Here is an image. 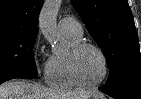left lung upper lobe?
<instances>
[{
    "instance_id": "obj_1",
    "label": "left lung upper lobe",
    "mask_w": 141,
    "mask_h": 99,
    "mask_svg": "<svg viewBox=\"0 0 141 99\" xmlns=\"http://www.w3.org/2000/svg\"><path fill=\"white\" fill-rule=\"evenodd\" d=\"M110 69L106 85L141 81L137 31L127 0H71Z\"/></svg>"
}]
</instances>
